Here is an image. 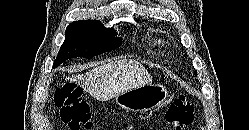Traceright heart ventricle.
Segmentation results:
<instances>
[{
    "instance_id": "1",
    "label": "right heart ventricle",
    "mask_w": 249,
    "mask_h": 130,
    "mask_svg": "<svg viewBox=\"0 0 249 130\" xmlns=\"http://www.w3.org/2000/svg\"><path fill=\"white\" fill-rule=\"evenodd\" d=\"M149 42L153 45V47L156 48V50L159 53H161L163 55L166 53V51L169 48L168 42L165 40V38H163L161 36L150 35Z\"/></svg>"
}]
</instances>
